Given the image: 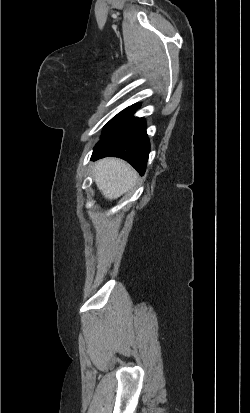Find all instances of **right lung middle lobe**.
Here are the masks:
<instances>
[{
	"label": "right lung middle lobe",
	"mask_w": 250,
	"mask_h": 413,
	"mask_svg": "<svg viewBox=\"0 0 250 413\" xmlns=\"http://www.w3.org/2000/svg\"><path fill=\"white\" fill-rule=\"evenodd\" d=\"M129 108H126L125 110H123L122 112H120L118 115H116L111 121H109L107 123V125L104 128L103 134L101 137H103L104 135H106L108 132H110L114 127H116L118 125V123L120 122V120L123 118V116L125 115V113L127 112Z\"/></svg>",
	"instance_id": "right-lung-middle-lobe-1"
}]
</instances>
